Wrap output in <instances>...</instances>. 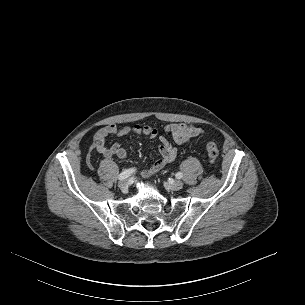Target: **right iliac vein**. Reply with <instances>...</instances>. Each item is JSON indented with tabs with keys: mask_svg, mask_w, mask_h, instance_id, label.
<instances>
[{
	"mask_svg": "<svg viewBox=\"0 0 305 305\" xmlns=\"http://www.w3.org/2000/svg\"><path fill=\"white\" fill-rule=\"evenodd\" d=\"M128 186H129V181H128V180H121V181L118 183V187H119L123 192L127 191Z\"/></svg>",
	"mask_w": 305,
	"mask_h": 305,
	"instance_id": "obj_1",
	"label": "right iliac vein"
}]
</instances>
